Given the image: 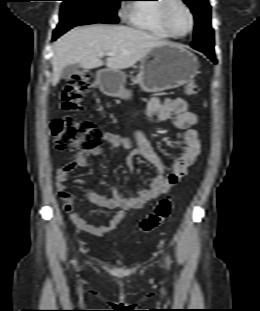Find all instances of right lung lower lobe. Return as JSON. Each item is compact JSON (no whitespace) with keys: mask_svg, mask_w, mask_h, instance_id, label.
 I'll return each instance as SVG.
<instances>
[{"mask_svg":"<svg viewBox=\"0 0 260 311\" xmlns=\"http://www.w3.org/2000/svg\"><path fill=\"white\" fill-rule=\"evenodd\" d=\"M72 27H74V26H67V27L62 28V29L56 28L55 31H54L52 40H56L60 35H62L66 31H68Z\"/></svg>","mask_w":260,"mask_h":311,"instance_id":"1","label":"right lung lower lobe"}]
</instances>
